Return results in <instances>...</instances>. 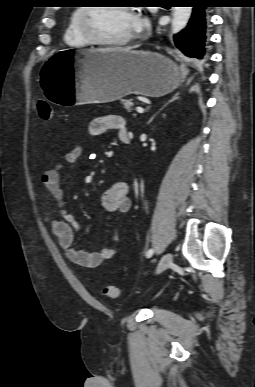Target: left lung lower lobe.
<instances>
[{
	"label": "left lung lower lobe",
	"instance_id": "0a47b994",
	"mask_svg": "<svg viewBox=\"0 0 255 387\" xmlns=\"http://www.w3.org/2000/svg\"><path fill=\"white\" fill-rule=\"evenodd\" d=\"M183 3L191 4L193 12L186 29L174 35V43L190 58L193 65H198L207 58L209 44L207 7H210V0H185Z\"/></svg>",
	"mask_w": 255,
	"mask_h": 387
}]
</instances>
